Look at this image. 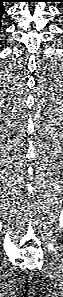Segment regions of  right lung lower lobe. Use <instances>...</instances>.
Listing matches in <instances>:
<instances>
[{
    "label": "right lung lower lobe",
    "mask_w": 63,
    "mask_h": 297,
    "mask_svg": "<svg viewBox=\"0 0 63 297\" xmlns=\"http://www.w3.org/2000/svg\"><path fill=\"white\" fill-rule=\"evenodd\" d=\"M4 6L2 3H0V20H1V16L4 14ZM0 28H1V22H0Z\"/></svg>",
    "instance_id": "98d812e1"
}]
</instances>
